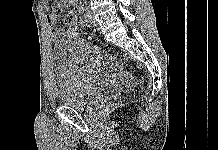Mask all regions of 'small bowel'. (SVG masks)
Listing matches in <instances>:
<instances>
[{"label":"small bowel","instance_id":"obj_1","mask_svg":"<svg viewBox=\"0 0 218 150\" xmlns=\"http://www.w3.org/2000/svg\"><path fill=\"white\" fill-rule=\"evenodd\" d=\"M78 0H56V7L52 10H49L48 7H45L47 10V24L49 27L50 35L53 38L56 37H64L66 35V31L58 26V18L61 13L64 12V6H72L75 7L76 11H79L80 8L77 6Z\"/></svg>","mask_w":218,"mask_h":150}]
</instances>
